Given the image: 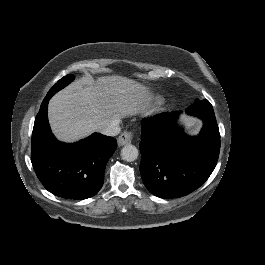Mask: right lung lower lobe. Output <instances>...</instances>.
I'll list each match as a JSON object with an SVG mask.
<instances>
[{"label": "right lung lower lobe", "mask_w": 265, "mask_h": 265, "mask_svg": "<svg viewBox=\"0 0 265 265\" xmlns=\"http://www.w3.org/2000/svg\"><path fill=\"white\" fill-rule=\"evenodd\" d=\"M49 100L44 98L32 132L31 160L36 175L58 197H92L103 185L105 167L116 150V140L94 133L73 144L59 142L48 122Z\"/></svg>", "instance_id": "obj_1"}]
</instances>
